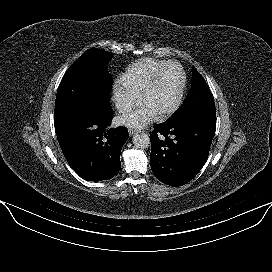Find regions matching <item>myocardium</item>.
Segmentation results:
<instances>
[{
  "mask_svg": "<svg viewBox=\"0 0 272 272\" xmlns=\"http://www.w3.org/2000/svg\"><path fill=\"white\" fill-rule=\"evenodd\" d=\"M171 66H177L180 69L181 75H182L181 84H180L178 95H177V98H176L175 102L169 108H167V109H165L162 112H160V113L157 114V117L159 119H164V118L169 117L170 115H172L173 113H175L179 109V107L181 106V104H182V101H183V98H184L185 89H186V82H187L186 72H185L184 68L178 62H174V61L168 62L167 64H165L156 73V75L153 77V79L148 83V85L141 92L140 99H141V102L144 103V101L146 100V98L148 97V95L159 84V82H160L162 76L164 75V73L166 72V70L169 67H171Z\"/></svg>",
  "mask_w": 272,
  "mask_h": 272,
  "instance_id": "obj_1",
  "label": "myocardium"
}]
</instances>
